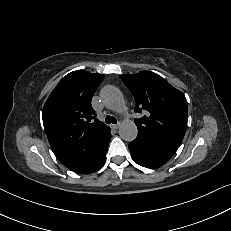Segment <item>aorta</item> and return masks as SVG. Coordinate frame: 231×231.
<instances>
[{
  "label": "aorta",
  "mask_w": 231,
  "mask_h": 231,
  "mask_svg": "<svg viewBox=\"0 0 231 231\" xmlns=\"http://www.w3.org/2000/svg\"><path fill=\"white\" fill-rule=\"evenodd\" d=\"M101 99L108 109L120 111L124 105V98L121 91L112 85H107L100 92ZM138 129L136 124L131 120H124L119 126L120 137L128 142L137 137Z\"/></svg>",
  "instance_id": "762f6f07"
}]
</instances>
